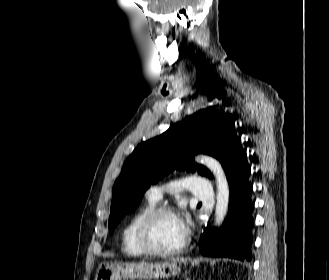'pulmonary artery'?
<instances>
[{
  "mask_svg": "<svg viewBox=\"0 0 329 280\" xmlns=\"http://www.w3.org/2000/svg\"><path fill=\"white\" fill-rule=\"evenodd\" d=\"M185 187L189 189L198 199L208 202L211 201L213 197V188L207 179L199 176H190L185 180ZM171 189L178 190V187H170ZM165 190L164 186H152L150 187L146 195L148 198L158 201L163 191Z\"/></svg>",
  "mask_w": 329,
  "mask_h": 280,
  "instance_id": "obj_1",
  "label": "pulmonary artery"
}]
</instances>
